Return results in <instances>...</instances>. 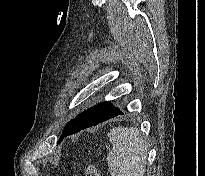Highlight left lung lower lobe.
Listing matches in <instances>:
<instances>
[{
  "label": "left lung lower lobe",
  "mask_w": 205,
  "mask_h": 176,
  "mask_svg": "<svg viewBox=\"0 0 205 176\" xmlns=\"http://www.w3.org/2000/svg\"><path fill=\"white\" fill-rule=\"evenodd\" d=\"M120 114L123 113L118 108L114 107L110 102L97 104L78 114L69 124L62 136V139L85 128L98 125L99 123Z\"/></svg>",
  "instance_id": "1"
}]
</instances>
